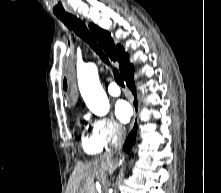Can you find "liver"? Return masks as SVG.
<instances>
[{"label": "liver", "instance_id": "1", "mask_svg": "<svg viewBox=\"0 0 221 193\" xmlns=\"http://www.w3.org/2000/svg\"><path fill=\"white\" fill-rule=\"evenodd\" d=\"M118 160L107 152L86 164L78 163L70 176L66 193H95L94 177L98 173H113Z\"/></svg>", "mask_w": 221, "mask_h": 193}]
</instances>
